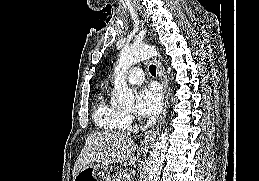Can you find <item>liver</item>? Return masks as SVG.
Masks as SVG:
<instances>
[{
  "label": "liver",
  "mask_w": 259,
  "mask_h": 181,
  "mask_svg": "<svg viewBox=\"0 0 259 181\" xmlns=\"http://www.w3.org/2000/svg\"><path fill=\"white\" fill-rule=\"evenodd\" d=\"M135 151V142L124 134L112 131L95 132L86 139L85 146L75 162L73 178L94 163L134 165L138 158L134 156Z\"/></svg>",
  "instance_id": "liver-1"
}]
</instances>
